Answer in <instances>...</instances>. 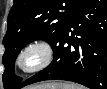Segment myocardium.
Wrapping results in <instances>:
<instances>
[{"label": "myocardium", "mask_w": 107, "mask_h": 89, "mask_svg": "<svg viewBox=\"0 0 107 89\" xmlns=\"http://www.w3.org/2000/svg\"><path fill=\"white\" fill-rule=\"evenodd\" d=\"M30 52H37L39 54V60L35 65L27 67L24 64V59ZM53 56L54 50L49 41L42 38L34 39L24 45L19 51L16 58V66L23 73H36L45 69L51 63Z\"/></svg>", "instance_id": "f54148a6"}]
</instances>
